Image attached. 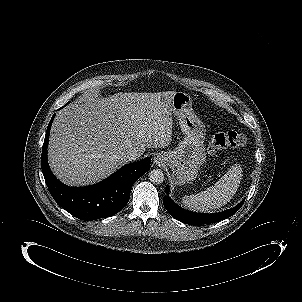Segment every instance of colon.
<instances>
[{"mask_svg":"<svg viewBox=\"0 0 302 302\" xmlns=\"http://www.w3.org/2000/svg\"><path fill=\"white\" fill-rule=\"evenodd\" d=\"M247 138L243 133L225 132L219 133L212 137L208 144V151L211 153L217 152L226 148H240L246 145Z\"/></svg>","mask_w":302,"mask_h":302,"instance_id":"colon-1","label":"colon"}]
</instances>
